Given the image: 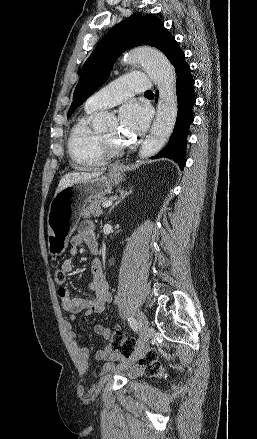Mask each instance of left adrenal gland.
I'll use <instances>...</instances> for the list:
<instances>
[{
    "instance_id": "obj_1",
    "label": "left adrenal gland",
    "mask_w": 257,
    "mask_h": 439,
    "mask_svg": "<svg viewBox=\"0 0 257 439\" xmlns=\"http://www.w3.org/2000/svg\"><path fill=\"white\" fill-rule=\"evenodd\" d=\"M118 192H119V194H120V196H119V198L116 200V202L112 205V207L110 208V210H109V212L108 213H110L113 209H114V207L115 206H117L126 196H128L129 194H131L132 193V190H130L129 192H127V191H124L123 189H119L118 190Z\"/></svg>"
}]
</instances>
